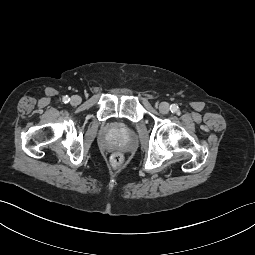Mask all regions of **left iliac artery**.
I'll use <instances>...</instances> for the list:
<instances>
[{"label": "left iliac artery", "mask_w": 255, "mask_h": 255, "mask_svg": "<svg viewBox=\"0 0 255 255\" xmlns=\"http://www.w3.org/2000/svg\"><path fill=\"white\" fill-rule=\"evenodd\" d=\"M170 110H171L172 113H177L179 111V107L176 104H172L170 106Z\"/></svg>", "instance_id": "obj_1"}]
</instances>
